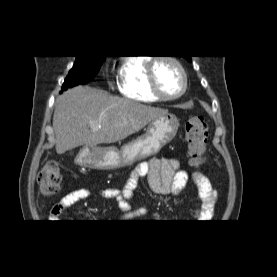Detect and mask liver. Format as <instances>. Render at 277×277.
Masks as SVG:
<instances>
[{
  "instance_id": "1",
  "label": "liver",
  "mask_w": 277,
  "mask_h": 277,
  "mask_svg": "<svg viewBox=\"0 0 277 277\" xmlns=\"http://www.w3.org/2000/svg\"><path fill=\"white\" fill-rule=\"evenodd\" d=\"M166 114L165 109L113 97L90 87L69 89L56 100L53 116L56 152L124 140Z\"/></svg>"
}]
</instances>
